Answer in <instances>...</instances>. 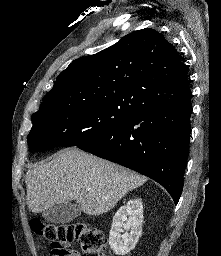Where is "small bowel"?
<instances>
[{
    "label": "small bowel",
    "instance_id": "obj_1",
    "mask_svg": "<svg viewBox=\"0 0 221 256\" xmlns=\"http://www.w3.org/2000/svg\"><path fill=\"white\" fill-rule=\"evenodd\" d=\"M51 255L52 256H63L62 251L60 253H55V254L51 253ZM72 256H80V255L77 252H74V253H72Z\"/></svg>",
    "mask_w": 221,
    "mask_h": 256
}]
</instances>
